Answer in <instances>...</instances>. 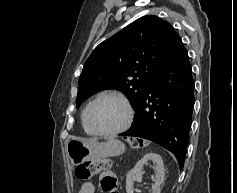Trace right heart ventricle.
I'll return each instance as SVG.
<instances>
[{"label": "right heart ventricle", "instance_id": "e07e8e85", "mask_svg": "<svg viewBox=\"0 0 237 193\" xmlns=\"http://www.w3.org/2000/svg\"><path fill=\"white\" fill-rule=\"evenodd\" d=\"M86 108L84 109L83 114H82V127L88 135H95V133L90 129V127L87 124V121H86Z\"/></svg>", "mask_w": 237, "mask_h": 193}]
</instances>
